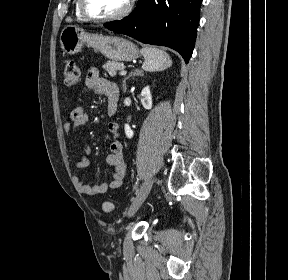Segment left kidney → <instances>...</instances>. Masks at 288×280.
I'll return each instance as SVG.
<instances>
[{
  "label": "left kidney",
  "mask_w": 288,
  "mask_h": 280,
  "mask_svg": "<svg viewBox=\"0 0 288 280\" xmlns=\"http://www.w3.org/2000/svg\"><path fill=\"white\" fill-rule=\"evenodd\" d=\"M141 103L143 107L147 110L152 108V95H151L149 86H146L145 88H143L141 92ZM124 130H125V134L127 138L133 137L134 132L128 124H125Z\"/></svg>",
  "instance_id": "5707ae66"
}]
</instances>
